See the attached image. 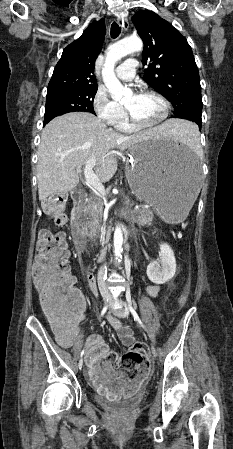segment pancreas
I'll use <instances>...</instances> for the list:
<instances>
[{
    "mask_svg": "<svg viewBox=\"0 0 233 449\" xmlns=\"http://www.w3.org/2000/svg\"><path fill=\"white\" fill-rule=\"evenodd\" d=\"M103 205L104 202L97 195H92L84 206V212L90 217V225L94 228V232L97 231L103 217ZM125 216L141 226L150 224L153 220V211L146 208L126 210Z\"/></svg>",
    "mask_w": 233,
    "mask_h": 449,
    "instance_id": "cf45deb5",
    "label": "pancreas"
}]
</instances>
